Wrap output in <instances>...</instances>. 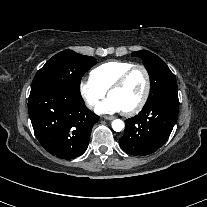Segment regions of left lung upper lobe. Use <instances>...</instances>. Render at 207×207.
Wrapping results in <instances>:
<instances>
[{
  "label": "left lung upper lobe",
  "mask_w": 207,
  "mask_h": 207,
  "mask_svg": "<svg viewBox=\"0 0 207 207\" xmlns=\"http://www.w3.org/2000/svg\"><path fill=\"white\" fill-rule=\"evenodd\" d=\"M132 56L142 57L151 80V91L147 102L156 95L166 91H177V83L174 74L169 67L157 55L141 50L132 53Z\"/></svg>",
  "instance_id": "5c2ea615"
}]
</instances>
